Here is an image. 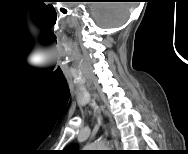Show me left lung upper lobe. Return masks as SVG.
<instances>
[{
	"label": "left lung upper lobe",
	"mask_w": 188,
	"mask_h": 154,
	"mask_svg": "<svg viewBox=\"0 0 188 154\" xmlns=\"http://www.w3.org/2000/svg\"><path fill=\"white\" fill-rule=\"evenodd\" d=\"M70 154H79L81 151L77 150V145L72 144L65 149Z\"/></svg>",
	"instance_id": "left-lung-upper-lobe-1"
}]
</instances>
